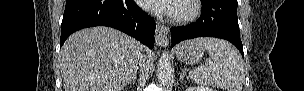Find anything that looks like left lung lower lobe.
<instances>
[{
	"instance_id": "left-lung-lower-lobe-1",
	"label": "left lung lower lobe",
	"mask_w": 304,
	"mask_h": 91,
	"mask_svg": "<svg viewBox=\"0 0 304 91\" xmlns=\"http://www.w3.org/2000/svg\"><path fill=\"white\" fill-rule=\"evenodd\" d=\"M201 16L187 26L171 28L172 46L196 37H216L234 44L243 56L237 0H201Z\"/></svg>"
}]
</instances>
